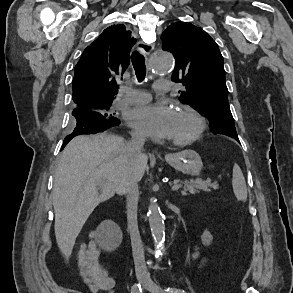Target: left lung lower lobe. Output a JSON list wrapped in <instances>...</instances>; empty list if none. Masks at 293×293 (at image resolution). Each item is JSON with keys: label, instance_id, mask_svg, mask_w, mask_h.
I'll use <instances>...</instances> for the list:
<instances>
[{"label": "left lung lower lobe", "instance_id": "left-lung-lower-lobe-1", "mask_svg": "<svg viewBox=\"0 0 293 293\" xmlns=\"http://www.w3.org/2000/svg\"><path fill=\"white\" fill-rule=\"evenodd\" d=\"M234 139H236L239 142L238 136L237 135H231Z\"/></svg>", "mask_w": 293, "mask_h": 293}]
</instances>
